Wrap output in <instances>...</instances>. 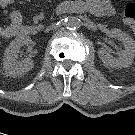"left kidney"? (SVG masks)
Instances as JSON below:
<instances>
[{
    "label": "left kidney",
    "instance_id": "left-kidney-1",
    "mask_svg": "<svg viewBox=\"0 0 135 135\" xmlns=\"http://www.w3.org/2000/svg\"><path fill=\"white\" fill-rule=\"evenodd\" d=\"M115 37L124 44V50L118 58L113 57L105 48L98 51V55L103 64L109 68H125L129 67L135 56V41L127 33L115 29Z\"/></svg>",
    "mask_w": 135,
    "mask_h": 135
}]
</instances>
